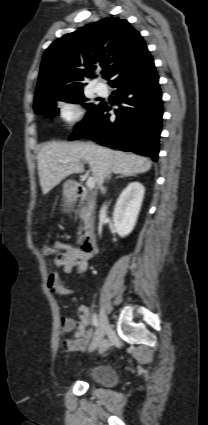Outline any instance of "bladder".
I'll list each match as a JSON object with an SVG mask.
<instances>
[{"label": "bladder", "mask_w": 208, "mask_h": 425, "mask_svg": "<svg viewBox=\"0 0 208 425\" xmlns=\"http://www.w3.org/2000/svg\"><path fill=\"white\" fill-rule=\"evenodd\" d=\"M85 376L88 380L104 388H112L117 383V376L113 368L106 363L91 366L86 370Z\"/></svg>", "instance_id": "31cf9c89"}]
</instances>
